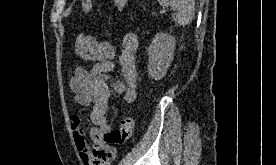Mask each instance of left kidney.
I'll return each mask as SVG.
<instances>
[{
    "label": "left kidney",
    "instance_id": "left-kidney-1",
    "mask_svg": "<svg viewBox=\"0 0 276 165\" xmlns=\"http://www.w3.org/2000/svg\"><path fill=\"white\" fill-rule=\"evenodd\" d=\"M176 40L175 37L163 32L155 35L148 48L147 72L158 81L162 79L173 61Z\"/></svg>",
    "mask_w": 276,
    "mask_h": 165
}]
</instances>
